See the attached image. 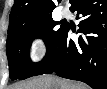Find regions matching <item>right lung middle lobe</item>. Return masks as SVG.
Returning a JSON list of instances; mask_svg holds the SVG:
<instances>
[{
  "label": "right lung middle lobe",
  "mask_w": 107,
  "mask_h": 89,
  "mask_svg": "<svg viewBox=\"0 0 107 89\" xmlns=\"http://www.w3.org/2000/svg\"><path fill=\"white\" fill-rule=\"evenodd\" d=\"M59 22L52 17L33 20L26 23L17 24L8 28L6 53L9 62V76L11 80L26 79L34 76L43 61L56 48L61 38L65 24L56 28ZM35 38H42L47 47L44 59L38 63H32L29 58V48Z\"/></svg>",
  "instance_id": "right-lung-middle-lobe-1"
}]
</instances>
